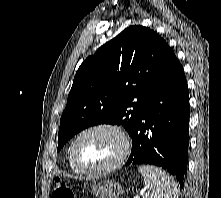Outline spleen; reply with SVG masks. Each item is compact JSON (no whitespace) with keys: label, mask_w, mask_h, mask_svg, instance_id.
<instances>
[{"label":"spleen","mask_w":221,"mask_h":198,"mask_svg":"<svg viewBox=\"0 0 221 198\" xmlns=\"http://www.w3.org/2000/svg\"><path fill=\"white\" fill-rule=\"evenodd\" d=\"M138 170L148 189L144 198H178L176 183L168 173L151 165L139 166Z\"/></svg>","instance_id":"obj_1"}]
</instances>
